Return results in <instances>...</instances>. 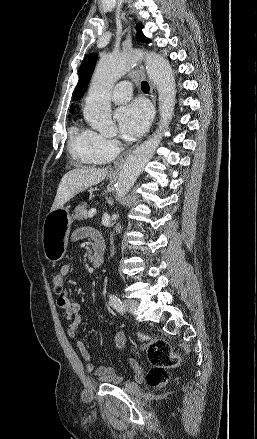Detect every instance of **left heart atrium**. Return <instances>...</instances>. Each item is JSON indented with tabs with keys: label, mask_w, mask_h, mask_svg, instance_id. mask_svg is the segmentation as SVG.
<instances>
[{
	"label": "left heart atrium",
	"mask_w": 257,
	"mask_h": 439,
	"mask_svg": "<svg viewBox=\"0 0 257 439\" xmlns=\"http://www.w3.org/2000/svg\"><path fill=\"white\" fill-rule=\"evenodd\" d=\"M120 133L125 139L139 137L148 127L151 119L150 107L144 101H134L119 108L115 113Z\"/></svg>",
	"instance_id": "left-heart-atrium-1"
}]
</instances>
